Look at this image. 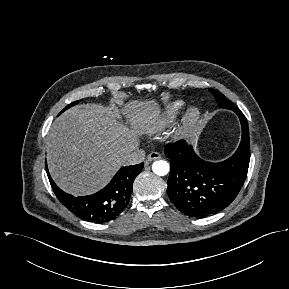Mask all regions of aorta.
I'll list each match as a JSON object with an SVG mask.
<instances>
[{
    "instance_id": "762f6f07",
    "label": "aorta",
    "mask_w": 289,
    "mask_h": 289,
    "mask_svg": "<svg viewBox=\"0 0 289 289\" xmlns=\"http://www.w3.org/2000/svg\"><path fill=\"white\" fill-rule=\"evenodd\" d=\"M153 172L158 176H164L169 172V164L167 161L158 160L152 165Z\"/></svg>"
}]
</instances>
